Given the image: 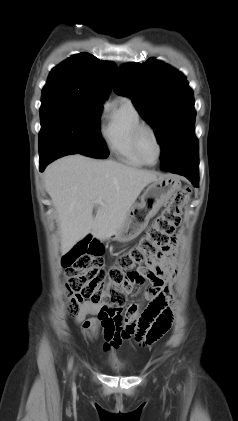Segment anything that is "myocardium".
<instances>
[{"label": "myocardium", "mask_w": 238, "mask_h": 421, "mask_svg": "<svg viewBox=\"0 0 238 421\" xmlns=\"http://www.w3.org/2000/svg\"><path fill=\"white\" fill-rule=\"evenodd\" d=\"M145 132H149L151 134V136L153 137V139L156 143V146H157V156H156V160L154 162H149L146 159V157H145V155L142 151L141 138H142V135ZM134 147H135L136 153L138 154L140 159L145 163V165H149V166L155 165L159 161V159L161 157V154H162V145H161L159 136H158L156 130L154 129V127L151 124L146 123V122H142L135 129V132H134Z\"/></svg>", "instance_id": "f54148a6"}]
</instances>
